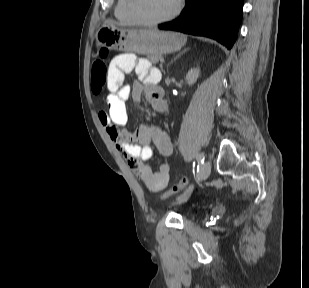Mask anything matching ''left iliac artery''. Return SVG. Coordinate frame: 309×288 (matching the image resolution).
Here are the masks:
<instances>
[{
    "label": "left iliac artery",
    "instance_id": "44dca946",
    "mask_svg": "<svg viewBox=\"0 0 309 288\" xmlns=\"http://www.w3.org/2000/svg\"><path fill=\"white\" fill-rule=\"evenodd\" d=\"M196 160H197L198 163H204L205 157H204V155L202 153H200V154L197 155ZM192 189H193V186H190L186 191H191L192 192Z\"/></svg>",
    "mask_w": 309,
    "mask_h": 288
}]
</instances>
